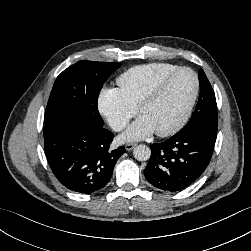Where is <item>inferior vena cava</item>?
<instances>
[{"instance_id": "inferior-vena-cava-1", "label": "inferior vena cava", "mask_w": 251, "mask_h": 251, "mask_svg": "<svg viewBox=\"0 0 251 251\" xmlns=\"http://www.w3.org/2000/svg\"><path fill=\"white\" fill-rule=\"evenodd\" d=\"M126 122L125 121H117L112 124V129L114 131H121L126 127Z\"/></svg>"}]
</instances>
